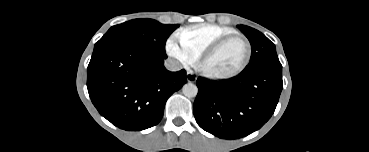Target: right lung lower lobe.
Instances as JSON below:
<instances>
[{
	"instance_id": "98d812e1",
	"label": "right lung lower lobe",
	"mask_w": 369,
	"mask_h": 152,
	"mask_svg": "<svg viewBox=\"0 0 369 152\" xmlns=\"http://www.w3.org/2000/svg\"><path fill=\"white\" fill-rule=\"evenodd\" d=\"M164 59L127 43L93 53L87 88L99 113L127 131L158 124L167 99L187 82L186 71H168Z\"/></svg>"
}]
</instances>
